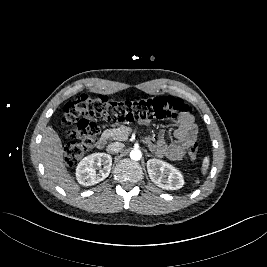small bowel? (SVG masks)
Instances as JSON below:
<instances>
[{
	"label": "small bowel",
	"instance_id": "1",
	"mask_svg": "<svg viewBox=\"0 0 267 267\" xmlns=\"http://www.w3.org/2000/svg\"><path fill=\"white\" fill-rule=\"evenodd\" d=\"M178 127L174 132L175 140L167 142L164 135L154 142L146 139L147 146L157 155L166 156L170 159H180L195 142L197 138V125L190 113L182 114L177 119Z\"/></svg>",
	"mask_w": 267,
	"mask_h": 267
}]
</instances>
